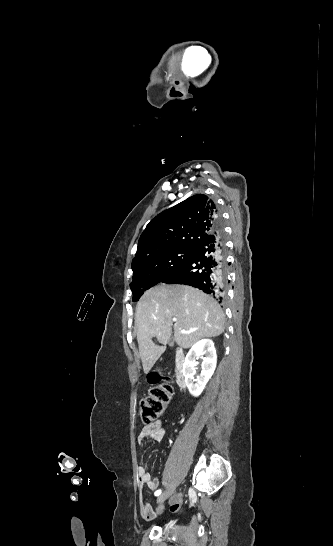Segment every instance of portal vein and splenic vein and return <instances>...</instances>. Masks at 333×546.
<instances>
[{
  "label": "portal vein and splenic vein",
  "instance_id": "obj_1",
  "mask_svg": "<svg viewBox=\"0 0 333 546\" xmlns=\"http://www.w3.org/2000/svg\"><path fill=\"white\" fill-rule=\"evenodd\" d=\"M175 321H176V319H173V322H175ZM180 332H181L182 334L188 333V332L185 331V330H181Z\"/></svg>",
  "mask_w": 333,
  "mask_h": 546
}]
</instances>
